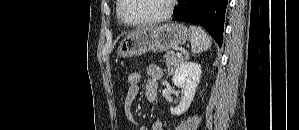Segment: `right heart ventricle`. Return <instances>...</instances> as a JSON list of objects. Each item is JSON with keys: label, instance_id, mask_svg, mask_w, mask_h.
Listing matches in <instances>:
<instances>
[{"label": "right heart ventricle", "instance_id": "1", "mask_svg": "<svg viewBox=\"0 0 299 130\" xmlns=\"http://www.w3.org/2000/svg\"><path fill=\"white\" fill-rule=\"evenodd\" d=\"M119 8H120V0L116 2V14H117V19L119 24L124 27L125 25L122 23V21L119 18Z\"/></svg>", "mask_w": 299, "mask_h": 130}]
</instances>
